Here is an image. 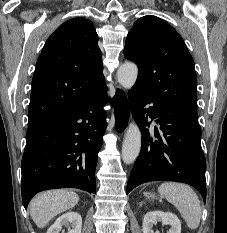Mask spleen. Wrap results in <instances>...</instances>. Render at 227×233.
I'll list each match as a JSON object with an SVG mask.
<instances>
[{
	"label": "spleen",
	"instance_id": "3e777b00",
	"mask_svg": "<svg viewBox=\"0 0 227 233\" xmlns=\"http://www.w3.org/2000/svg\"><path fill=\"white\" fill-rule=\"evenodd\" d=\"M158 192L178 209L190 229L198 228L201 205L197 194L190 186L176 182H164L158 187Z\"/></svg>",
	"mask_w": 227,
	"mask_h": 233
}]
</instances>
